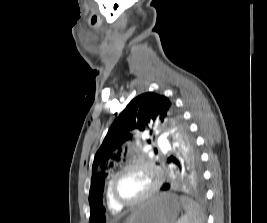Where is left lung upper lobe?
Wrapping results in <instances>:
<instances>
[{
	"instance_id": "left-lung-upper-lobe-1",
	"label": "left lung upper lobe",
	"mask_w": 267,
	"mask_h": 223,
	"mask_svg": "<svg viewBox=\"0 0 267 223\" xmlns=\"http://www.w3.org/2000/svg\"><path fill=\"white\" fill-rule=\"evenodd\" d=\"M156 124L169 130L181 150L184 171H202L200 156L195 141L181 115L176 112L174 104L165 96L153 92L144 93L134 98L113 122L97 151L93 166L89 199L90 214L101 218L108 206L102 205V193L108 169L118 161L123 145L134 141L137 134L143 131L152 132ZM150 143V140L147 141ZM179 165V162L173 160Z\"/></svg>"
}]
</instances>
